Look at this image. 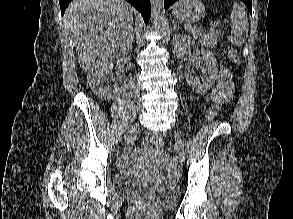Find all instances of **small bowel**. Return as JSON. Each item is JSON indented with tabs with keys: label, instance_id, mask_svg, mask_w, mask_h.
<instances>
[{
	"label": "small bowel",
	"instance_id": "obj_1",
	"mask_svg": "<svg viewBox=\"0 0 293 219\" xmlns=\"http://www.w3.org/2000/svg\"><path fill=\"white\" fill-rule=\"evenodd\" d=\"M233 92L234 84L232 81L231 73L225 67H221L216 84L209 96L206 98V101L225 103L232 97Z\"/></svg>",
	"mask_w": 293,
	"mask_h": 219
}]
</instances>
